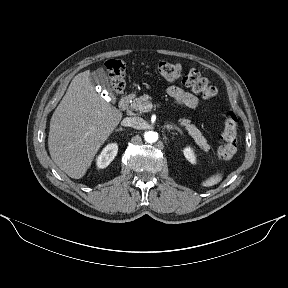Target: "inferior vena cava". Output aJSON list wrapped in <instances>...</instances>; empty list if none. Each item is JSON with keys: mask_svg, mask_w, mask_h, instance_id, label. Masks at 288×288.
<instances>
[{"mask_svg": "<svg viewBox=\"0 0 288 288\" xmlns=\"http://www.w3.org/2000/svg\"><path fill=\"white\" fill-rule=\"evenodd\" d=\"M124 125L131 126L136 129H142L145 126V121L144 119L140 117H130L126 119V121L124 122Z\"/></svg>", "mask_w": 288, "mask_h": 288, "instance_id": "obj_1", "label": "inferior vena cava"}]
</instances>
